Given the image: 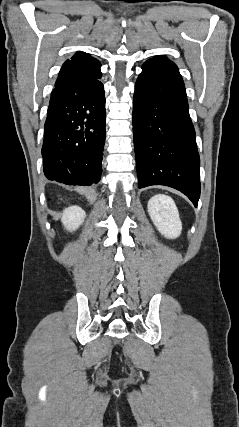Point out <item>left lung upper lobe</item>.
I'll use <instances>...</instances> for the list:
<instances>
[{"instance_id": "left-lung-upper-lobe-1", "label": "left lung upper lobe", "mask_w": 239, "mask_h": 427, "mask_svg": "<svg viewBox=\"0 0 239 427\" xmlns=\"http://www.w3.org/2000/svg\"><path fill=\"white\" fill-rule=\"evenodd\" d=\"M148 61L156 62V63L162 64V65H164L166 67L178 70L176 64L173 63L172 61H170L169 59H167L164 56H157V57H154L152 59H149Z\"/></svg>"}]
</instances>
